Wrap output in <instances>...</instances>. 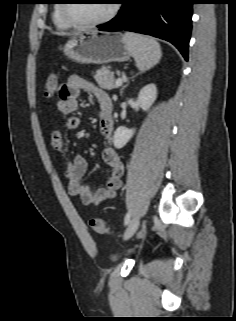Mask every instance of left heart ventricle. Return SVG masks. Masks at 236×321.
<instances>
[{"instance_id":"left-heart-ventricle-1","label":"left heart ventricle","mask_w":236,"mask_h":321,"mask_svg":"<svg viewBox=\"0 0 236 321\" xmlns=\"http://www.w3.org/2000/svg\"><path fill=\"white\" fill-rule=\"evenodd\" d=\"M111 7L112 2L108 0H81L70 3L68 13L77 21L90 22L105 17Z\"/></svg>"}]
</instances>
